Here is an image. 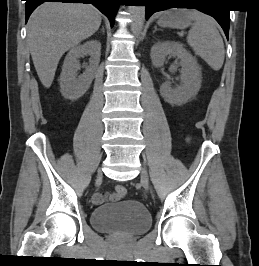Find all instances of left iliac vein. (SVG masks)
Returning <instances> with one entry per match:
<instances>
[{"mask_svg":"<svg viewBox=\"0 0 259 266\" xmlns=\"http://www.w3.org/2000/svg\"><path fill=\"white\" fill-rule=\"evenodd\" d=\"M141 183L146 190L150 189L148 173L144 167L141 169Z\"/></svg>","mask_w":259,"mask_h":266,"instance_id":"4c4485c4","label":"left iliac vein"}]
</instances>
